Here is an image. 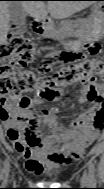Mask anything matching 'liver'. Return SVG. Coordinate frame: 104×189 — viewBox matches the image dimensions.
Here are the masks:
<instances>
[{"mask_svg":"<svg viewBox=\"0 0 104 189\" xmlns=\"http://www.w3.org/2000/svg\"><path fill=\"white\" fill-rule=\"evenodd\" d=\"M25 15L33 17L35 20L45 18L48 13L55 19H66L75 12L81 11L88 6L93 5L91 1H49L47 5L41 1H22L19 3ZM9 4L7 1H2L0 5V40L5 43L9 31Z\"/></svg>","mask_w":104,"mask_h":189,"instance_id":"liver-1","label":"liver"}]
</instances>
